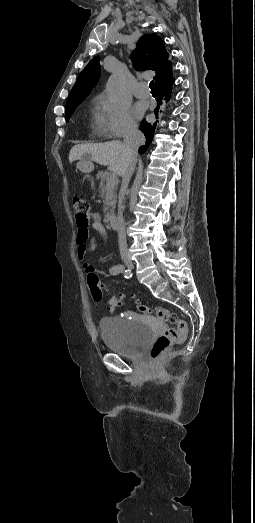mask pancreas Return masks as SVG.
I'll list each match as a JSON object with an SVG mask.
<instances>
[{
    "label": "pancreas",
    "instance_id": "pancreas-1",
    "mask_svg": "<svg viewBox=\"0 0 255 523\" xmlns=\"http://www.w3.org/2000/svg\"><path fill=\"white\" fill-rule=\"evenodd\" d=\"M99 182V188L101 190V198H103L104 208L103 212L105 216H110L114 212V208L117 202L116 188L118 184L117 176L111 175L109 172H98L96 176ZM111 184V186H107Z\"/></svg>",
    "mask_w": 255,
    "mask_h": 523
}]
</instances>
